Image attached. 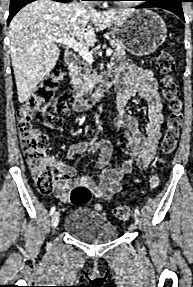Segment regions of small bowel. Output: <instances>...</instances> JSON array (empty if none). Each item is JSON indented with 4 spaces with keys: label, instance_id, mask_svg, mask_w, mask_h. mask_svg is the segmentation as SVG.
<instances>
[{
    "label": "small bowel",
    "instance_id": "obj_1",
    "mask_svg": "<svg viewBox=\"0 0 193 287\" xmlns=\"http://www.w3.org/2000/svg\"><path fill=\"white\" fill-rule=\"evenodd\" d=\"M111 74L116 80L119 91L118 116L115 123L125 130L126 147L131 153V158L120 167L108 168L113 151L110 141L72 144L67 151V158L70 160L83 152L100 150L99 158L95 163V168L99 172V181L96 182L88 176L77 178L76 167L52 157L50 164L59 173L54 186V195L63 202H69V192L76 186L89 188L96 198L110 199L121 190L122 180L126 174L131 172L134 164L139 169H146L154 158L164 121L154 72L132 65L121 58L111 63ZM135 97L142 98L148 105V123L145 133L140 131L137 121L125 110L127 103ZM43 121L50 129L56 128L47 117H44ZM71 132L73 135H78L82 129L73 126Z\"/></svg>",
    "mask_w": 193,
    "mask_h": 287
}]
</instances>
